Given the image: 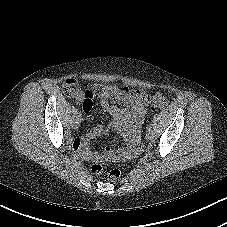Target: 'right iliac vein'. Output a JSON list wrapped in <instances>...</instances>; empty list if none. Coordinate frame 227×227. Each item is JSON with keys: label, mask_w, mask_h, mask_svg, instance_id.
Returning a JSON list of instances; mask_svg holds the SVG:
<instances>
[{"label": "right iliac vein", "mask_w": 227, "mask_h": 227, "mask_svg": "<svg viewBox=\"0 0 227 227\" xmlns=\"http://www.w3.org/2000/svg\"><path fill=\"white\" fill-rule=\"evenodd\" d=\"M79 123H80V118L76 117L71 124L72 128H77L79 126Z\"/></svg>", "instance_id": "right-iliac-vein-1"}]
</instances>
